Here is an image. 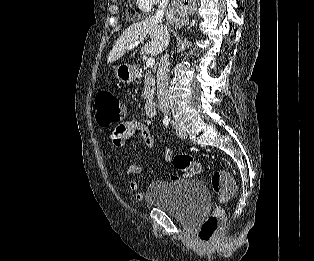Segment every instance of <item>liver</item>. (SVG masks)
<instances>
[{"mask_svg":"<svg viewBox=\"0 0 314 261\" xmlns=\"http://www.w3.org/2000/svg\"><path fill=\"white\" fill-rule=\"evenodd\" d=\"M147 36H150L151 40L141 49V54L159 55L169 44L170 37L167 27L160 24L154 17H149L132 24L121 34L108 55L107 63L110 64L120 59L128 46L144 40Z\"/></svg>","mask_w":314,"mask_h":261,"instance_id":"6515ba94","label":"liver"}]
</instances>
